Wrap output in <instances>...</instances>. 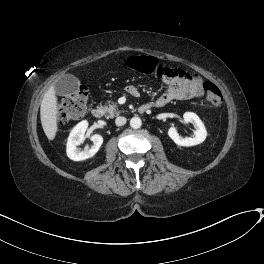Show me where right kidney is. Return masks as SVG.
Wrapping results in <instances>:
<instances>
[{"instance_id":"right-kidney-1","label":"right kidney","mask_w":264,"mask_h":264,"mask_svg":"<svg viewBox=\"0 0 264 264\" xmlns=\"http://www.w3.org/2000/svg\"><path fill=\"white\" fill-rule=\"evenodd\" d=\"M87 127L88 122L86 120L81 121L72 129L68 137L66 152L67 156L73 161H82L93 157L98 152L103 143V137L99 134H94L91 136L93 144L90 147H86L84 150L80 151L77 146L84 142V134Z\"/></svg>"}]
</instances>
